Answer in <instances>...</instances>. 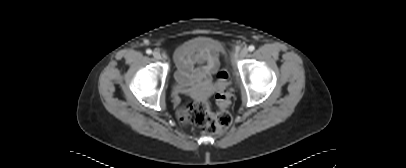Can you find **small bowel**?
<instances>
[{
  "label": "small bowel",
  "instance_id": "obj_1",
  "mask_svg": "<svg viewBox=\"0 0 406 168\" xmlns=\"http://www.w3.org/2000/svg\"><path fill=\"white\" fill-rule=\"evenodd\" d=\"M220 50L211 47H197L185 51L177 50L175 62L179 79L184 81L190 73L198 78L212 76L219 65ZM198 65L197 68H194Z\"/></svg>",
  "mask_w": 406,
  "mask_h": 168
}]
</instances>
